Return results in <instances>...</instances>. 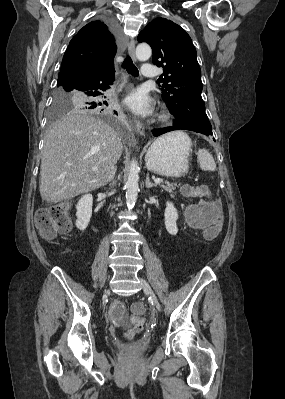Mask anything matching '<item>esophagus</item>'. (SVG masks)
I'll use <instances>...</instances> for the list:
<instances>
[{
  "instance_id": "obj_1",
  "label": "esophagus",
  "mask_w": 285,
  "mask_h": 399,
  "mask_svg": "<svg viewBox=\"0 0 285 399\" xmlns=\"http://www.w3.org/2000/svg\"><path fill=\"white\" fill-rule=\"evenodd\" d=\"M128 52L131 56V58L136 61V56H135V40L132 38L129 43H128ZM135 128L136 132L138 135L143 136L145 133V128L143 124L140 121H136L135 123Z\"/></svg>"
}]
</instances>
